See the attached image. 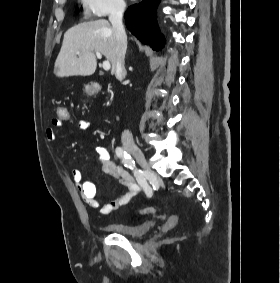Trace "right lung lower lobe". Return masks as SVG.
<instances>
[{"label":"right lung lower lobe","instance_id":"98d812e1","mask_svg":"<svg viewBox=\"0 0 280 283\" xmlns=\"http://www.w3.org/2000/svg\"><path fill=\"white\" fill-rule=\"evenodd\" d=\"M160 0H143L130 6L125 12L128 30L142 43L152 49L160 50L164 46V37L156 23V9Z\"/></svg>","mask_w":280,"mask_h":283}]
</instances>
